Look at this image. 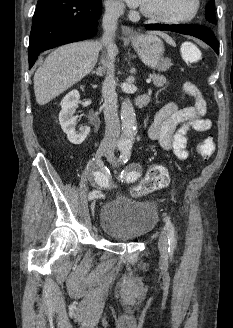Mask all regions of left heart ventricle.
Wrapping results in <instances>:
<instances>
[{
	"instance_id": "left-heart-ventricle-1",
	"label": "left heart ventricle",
	"mask_w": 233,
	"mask_h": 328,
	"mask_svg": "<svg viewBox=\"0 0 233 328\" xmlns=\"http://www.w3.org/2000/svg\"><path fill=\"white\" fill-rule=\"evenodd\" d=\"M141 7L156 15L181 18L191 12L193 0H144Z\"/></svg>"
}]
</instances>
